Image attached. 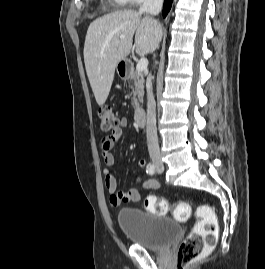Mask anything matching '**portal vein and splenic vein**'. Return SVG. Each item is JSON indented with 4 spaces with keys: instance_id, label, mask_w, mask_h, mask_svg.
Returning a JSON list of instances; mask_svg holds the SVG:
<instances>
[{
    "instance_id": "portal-vein-and-splenic-vein-1",
    "label": "portal vein and splenic vein",
    "mask_w": 265,
    "mask_h": 269,
    "mask_svg": "<svg viewBox=\"0 0 265 269\" xmlns=\"http://www.w3.org/2000/svg\"><path fill=\"white\" fill-rule=\"evenodd\" d=\"M147 66H148V60H147V58L142 57V58L138 61L137 65H136V70H137L138 72L145 71V70L147 69Z\"/></svg>"
}]
</instances>
